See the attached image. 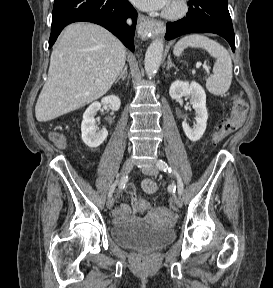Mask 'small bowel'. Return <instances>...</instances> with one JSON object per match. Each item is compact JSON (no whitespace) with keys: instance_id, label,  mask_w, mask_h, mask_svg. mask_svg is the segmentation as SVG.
I'll return each instance as SVG.
<instances>
[{"instance_id":"c3829d8e","label":"small bowel","mask_w":273,"mask_h":288,"mask_svg":"<svg viewBox=\"0 0 273 288\" xmlns=\"http://www.w3.org/2000/svg\"><path fill=\"white\" fill-rule=\"evenodd\" d=\"M142 188L146 193L152 194L156 191V184L152 180H145L142 184ZM127 193L132 200V206L127 204H122L115 208L113 212L114 220L116 222L123 221H134L136 220L134 214L138 213V209L136 208L137 194L135 188L130 185L127 187Z\"/></svg>"}]
</instances>
